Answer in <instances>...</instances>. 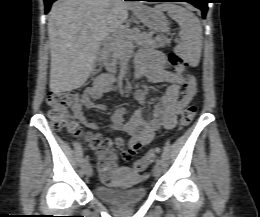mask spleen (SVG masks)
Listing matches in <instances>:
<instances>
[{
    "mask_svg": "<svg viewBox=\"0 0 260 217\" xmlns=\"http://www.w3.org/2000/svg\"><path fill=\"white\" fill-rule=\"evenodd\" d=\"M159 8L167 11L181 28L179 32L181 43L178 46L181 55L187 59L199 57L202 46V27L198 17L189 10L173 4H163Z\"/></svg>",
    "mask_w": 260,
    "mask_h": 217,
    "instance_id": "1",
    "label": "spleen"
}]
</instances>
